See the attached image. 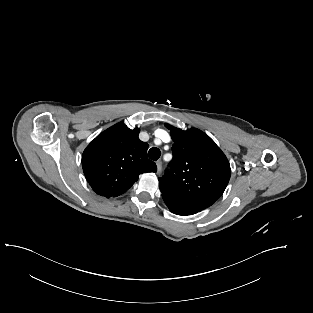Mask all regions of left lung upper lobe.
<instances>
[{
    "mask_svg": "<svg viewBox=\"0 0 313 313\" xmlns=\"http://www.w3.org/2000/svg\"><path fill=\"white\" fill-rule=\"evenodd\" d=\"M174 141L171 170L158 178L162 196L202 211L223 194L230 164L216 143L199 129L182 131L169 124Z\"/></svg>",
    "mask_w": 313,
    "mask_h": 313,
    "instance_id": "5c2ea615",
    "label": "left lung upper lobe"
}]
</instances>
